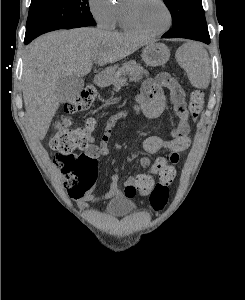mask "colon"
<instances>
[{
	"instance_id": "5ec220e1",
	"label": "colon",
	"mask_w": 245,
	"mask_h": 300,
	"mask_svg": "<svg viewBox=\"0 0 245 300\" xmlns=\"http://www.w3.org/2000/svg\"><path fill=\"white\" fill-rule=\"evenodd\" d=\"M97 92L93 86H86L65 107V115L55 123V135L50 141L51 148L57 152L56 163L65 175V187L71 197H80L89 191L97 177V160L83 153H76L77 149H84L89 142L93 129V122L89 121L83 127L70 128L68 115L82 112L90 107ZM203 94L199 90L191 92L189 111L196 120L203 108ZM154 180L148 174H140L136 178V189L142 195L150 197L154 210H162L168 199V188L153 190Z\"/></svg>"
}]
</instances>
